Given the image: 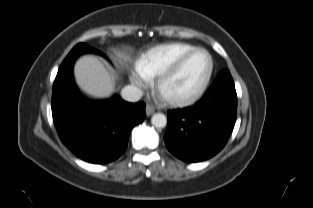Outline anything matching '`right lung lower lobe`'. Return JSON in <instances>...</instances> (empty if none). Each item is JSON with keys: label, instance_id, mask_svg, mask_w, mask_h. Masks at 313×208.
Here are the masks:
<instances>
[{"label": "right lung lower lobe", "instance_id": "obj_1", "mask_svg": "<svg viewBox=\"0 0 313 208\" xmlns=\"http://www.w3.org/2000/svg\"><path fill=\"white\" fill-rule=\"evenodd\" d=\"M85 52L101 54L87 46L65 58L53 84L52 116L66 147L84 161L104 164L124 153L132 128L146 116L145 104L125 102L118 96L96 102L83 98L74 83L72 68Z\"/></svg>", "mask_w": 313, "mask_h": 208}]
</instances>
